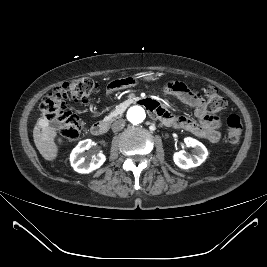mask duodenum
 Returning a JSON list of instances; mask_svg holds the SVG:
<instances>
[{"label":"duodenum","instance_id":"duodenum-1","mask_svg":"<svg viewBox=\"0 0 267 267\" xmlns=\"http://www.w3.org/2000/svg\"><path fill=\"white\" fill-rule=\"evenodd\" d=\"M145 105H147L150 108L154 107V102L150 100L143 101ZM109 130V124L107 122H96L91 127V133L95 136H102L106 134Z\"/></svg>","mask_w":267,"mask_h":267}]
</instances>
